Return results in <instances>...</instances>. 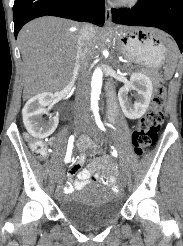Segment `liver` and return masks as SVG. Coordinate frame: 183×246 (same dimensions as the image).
I'll return each mask as SVG.
<instances>
[{
	"mask_svg": "<svg viewBox=\"0 0 183 246\" xmlns=\"http://www.w3.org/2000/svg\"><path fill=\"white\" fill-rule=\"evenodd\" d=\"M82 25L58 17H41L27 23L18 35L24 62L23 99L44 92L62 90L71 80L76 62L78 39ZM159 37L165 34L154 30ZM101 39V30L94 34L87 46L90 61Z\"/></svg>",
	"mask_w": 183,
	"mask_h": 246,
	"instance_id": "6515ba94",
	"label": "liver"
}]
</instances>
